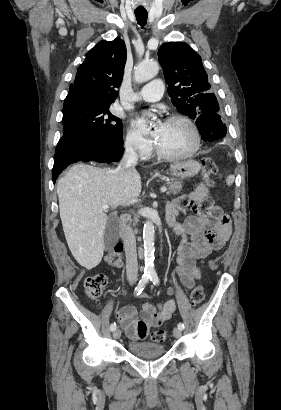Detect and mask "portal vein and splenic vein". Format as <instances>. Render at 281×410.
<instances>
[{"mask_svg": "<svg viewBox=\"0 0 281 410\" xmlns=\"http://www.w3.org/2000/svg\"><path fill=\"white\" fill-rule=\"evenodd\" d=\"M160 191H161L162 193L166 192V191H167V187H166V186H162V187L160 188ZM137 201H138L137 199H134V200L128 202L127 205L132 204V203H135V202H137ZM108 208H109L108 205L102 206V209H103V210H107Z\"/></svg>", "mask_w": 281, "mask_h": 410, "instance_id": "obj_1", "label": "portal vein and splenic vein"}]
</instances>
